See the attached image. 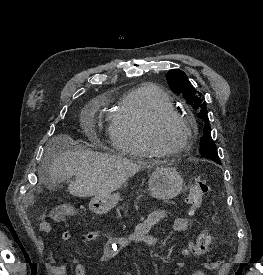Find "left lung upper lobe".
<instances>
[{"mask_svg":"<svg viewBox=\"0 0 263 275\" xmlns=\"http://www.w3.org/2000/svg\"><path fill=\"white\" fill-rule=\"evenodd\" d=\"M167 82L171 90L176 94H181L186 102L198 112V117L204 121V131L200 142V153L203 157L221 163L217 149L211 138V127L209 126L208 111L206 102L189 82L186 74L179 69H172L166 74Z\"/></svg>","mask_w":263,"mask_h":275,"instance_id":"5c2ea615","label":"left lung upper lobe"}]
</instances>
